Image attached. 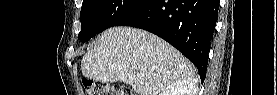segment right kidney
I'll return each instance as SVG.
<instances>
[{
    "mask_svg": "<svg viewBox=\"0 0 277 95\" xmlns=\"http://www.w3.org/2000/svg\"><path fill=\"white\" fill-rule=\"evenodd\" d=\"M193 85L188 82L178 81L169 85L160 95H195Z\"/></svg>",
    "mask_w": 277,
    "mask_h": 95,
    "instance_id": "right-kidney-1",
    "label": "right kidney"
}]
</instances>
